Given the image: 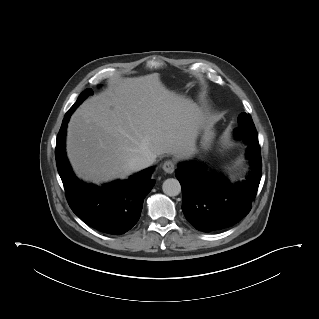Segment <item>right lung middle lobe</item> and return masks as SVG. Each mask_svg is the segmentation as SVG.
Masks as SVG:
<instances>
[{
    "mask_svg": "<svg viewBox=\"0 0 319 319\" xmlns=\"http://www.w3.org/2000/svg\"><path fill=\"white\" fill-rule=\"evenodd\" d=\"M91 94H93V91L90 88H88L85 91H83L80 94V96L78 97V99L75 102V104L71 108L75 109L76 107H78Z\"/></svg>",
    "mask_w": 319,
    "mask_h": 319,
    "instance_id": "1",
    "label": "right lung middle lobe"
}]
</instances>
